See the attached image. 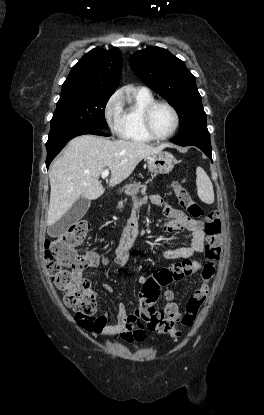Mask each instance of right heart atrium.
<instances>
[{"mask_svg": "<svg viewBox=\"0 0 264 415\" xmlns=\"http://www.w3.org/2000/svg\"><path fill=\"white\" fill-rule=\"evenodd\" d=\"M104 116L111 130L119 133L122 125V103L118 93L113 94L106 102Z\"/></svg>", "mask_w": 264, "mask_h": 415, "instance_id": "d8ad5b80", "label": "right heart atrium"}]
</instances>
